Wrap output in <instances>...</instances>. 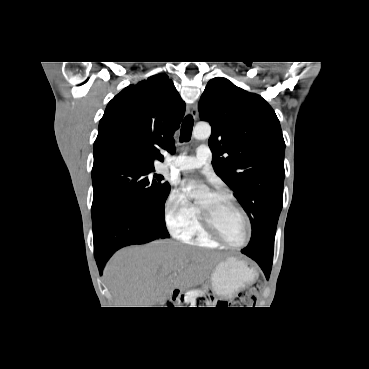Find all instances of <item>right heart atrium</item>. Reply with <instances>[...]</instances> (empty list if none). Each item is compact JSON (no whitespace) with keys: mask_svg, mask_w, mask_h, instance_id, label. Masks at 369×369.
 <instances>
[{"mask_svg":"<svg viewBox=\"0 0 369 369\" xmlns=\"http://www.w3.org/2000/svg\"><path fill=\"white\" fill-rule=\"evenodd\" d=\"M199 210L179 189H172L164 204V216L170 231L175 235L189 233Z\"/></svg>","mask_w":369,"mask_h":369,"instance_id":"1","label":"right heart atrium"}]
</instances>
